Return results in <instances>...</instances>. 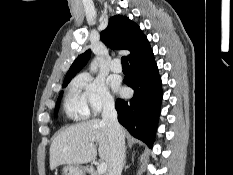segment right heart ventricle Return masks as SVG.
Returning <instances> with one entry per match:
<instances>
[{
	"instance_id": "1",
	"label": "right heart ventricle",
	"mask_w": 233,
	"mask_h": 175,
	"mask_svg": "<svg viewBox=\"0 0 233 175\" xmlns=\"http://www.w3.org/2000/svg\"><path fill=\"white\" fill-rule=\"evenodd\" d=\"M64 111L68 118L73 120L86 119L89 116V109L78 91L71 86L64 101Z\"/></svg>"
}]
</instances>
